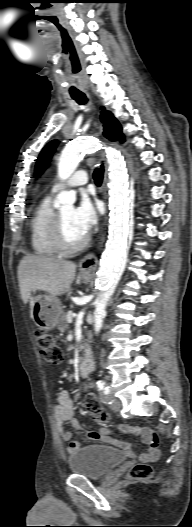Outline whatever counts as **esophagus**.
Returning <instances> with one entry per match:
<instances>
[{
    "label": "esophagus",
    "mask_w": 192,
    "mask_h": 527,
    "mask_svg": "<svg viewBox=\"0 0 192 527\" xmlns=\"http://www.w3.org/2000/svg\"><path fill=\"white\" fill-rule=\"evenodd\" d=\"M100 131H102V126L100 125ZM103 160H104V178H103V185H102V188H103V194H104V198L106 199L107 198V179H108V166H107V160L106 158L103 156ZM104 239H105V233H103L101 235V238L99 240V243H98V247L100 248L104 242ZM97 263H98V259H97V256L94 252H91V253H88L86 254L79 262V269L80 271L82 272H92L96 269V266H97Z\"/></svg>",
    "instance_id": "1"
}]
</instances>
